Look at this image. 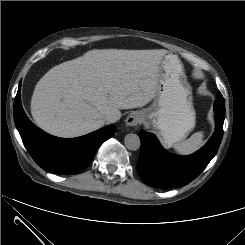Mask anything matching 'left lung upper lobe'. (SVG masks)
Masks as SVG:
<instances>
[{"label":"left lung upper lobe","mask_w":245,"mask_h":245,"mask_svg":"<svg viewBox=\"0 0 245 245\" xmlns=\"http://www.w3.org/2000/svg\"><path fill=\"white\" fill-rule=\"evenodd\" d=\"M220 101L223 103L222 105H223V107H224V109H225L224 98H221Z\"/></svg>","instance_id":"obj_1"}]
</instances>
